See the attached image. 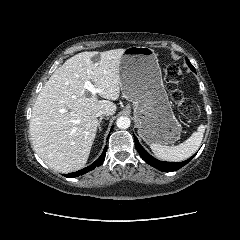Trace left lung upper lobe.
I'll return each instance as SVG.
<instances>
[{
	"label": "left lung upper lobe",
	"mask_w": 240,
	"mask_h": 240,
	"mask_svg": "<svg viewBox=\"0 0 240 240\" xmlns=\"http://www.w3.org/2000/svg\"><path fill=\"white\" fill-rule=\"evenodd\" d=\"M186 62L188 64V66L190 67V69L195 72V68L193 67V65L190 63V61L187 58H186Z\"/></svg>",
	"instance_id": "1"
}]
</instances>
